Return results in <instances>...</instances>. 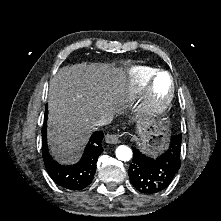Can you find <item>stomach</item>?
Instances as JSON below:
<instances>
[{
  "label": "stomach",
  "instance_id": "0dacf381",
  "mask_svg": "<svg viewBox=\"0 0 221 221\" xmlns=\"http://www.w3.org/2000/svg\"><path fill=\"white\" fill-rule=\"evenodd\" d=\"M138 131V144L147 155L157 154L168 144L169 129L164 121L148 126H138Z\"/></svg>",
  "mask_w": 221,
  "mask_h": 221
}]
</instances>
